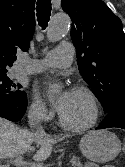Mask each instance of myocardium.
<instances>
[{"label": "myocardium", "mask_w": 125, "mask_h": 167, "mask_svg": "<svg viewBox=\"0 0 125 167\" xmlns=\"http://www.w3.org/2000/svg\"><path fill=\"white\" fill-rule=\"evenodd\" d=\"M73 91L80 92V93L84 94L90 100L92 108H93L92 118L85 125L75 126V125H71L67 121H65V119L63 118V116L60 113L59 114V123L66 130H69L72 132H84L86 130L91 129L98 121L99 113H100L99 102H98L97 97L93 93V91L86 86L77 85L74 87Z\"/></svg>", "instance_id": "myocardium-1"}]
</instances>
